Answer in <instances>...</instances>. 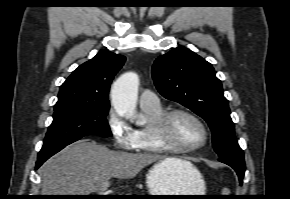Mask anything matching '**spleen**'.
<instances>
[{
  "instance_id": "spleen-1",
  "label": "spleen",
  "mask_w": 290,
  "mask_h": 199,
  "mask_svg": "<svg viewBox=\"0 0 290 199\" xmlns=\"http://www.w3.org/2000/svg\"><path fill=\"white\" fill-rule=\"evenodd\" d=\"M229 190L228 189H223V195H229Z\"/></svg>"
}]
</instances>
